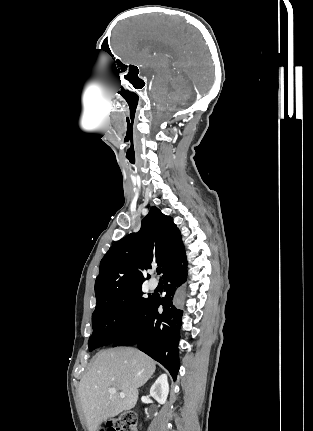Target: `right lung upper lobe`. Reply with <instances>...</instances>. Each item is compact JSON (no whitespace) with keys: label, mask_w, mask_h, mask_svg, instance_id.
Segmentation results:
<instances>
[{"label":"right lung upper lobe","mask_w":313,"mask_h":431,"mask_svg":"<svg viewBox=\"0 0 313 431\" xmlns=\"http://www.w3.org/2000/svg\"><path fill=\"white\" fill-rule=\"evenodd\" d=\"M183 249L172 217L152 207L142 220L140 231L117 241L101 260L95 282L97 303L141 287L144 271L151 268L153 261L162 266L165 274Z\"/></svg>","instance_id":"right-lung-upper-lobe-1"}]
</instances>
